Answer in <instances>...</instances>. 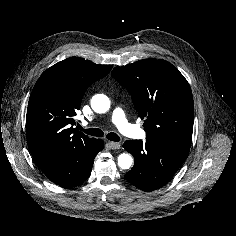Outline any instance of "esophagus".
<instances>
[{"label":"esophagus","instance_id":"obj_1","mask_svg":"<svg viewBox=\"0 0 236 236\" xmlns=\"http://www.w3.org/2000/svg\"><path fill=\"white\" fill-rule=\"evenodd\" d=\"M109 147L112 149V150H116V149H120V144L119 143H116V142H109Z\"/></svg>","mask_w":236,"mask_h":236}]
</instances>
